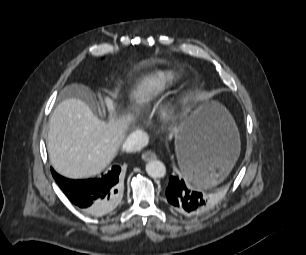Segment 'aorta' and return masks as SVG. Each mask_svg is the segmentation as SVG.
Here are the masks:
<instances>
[{"label": "aorta", "mask_w": 306, "mask_h": 255, "mask_svg": "<svg viewBox=\"0 0 306 255\" xmlns=\"http://www.w3.org/2000/svg\"><path fill=\"white\" fill-rule=\"evenodd\" d=\"M146 172L152 178H163L166 174V167L159 160H152L146 164Z\"/></svg>", "instance_id": "762f6f07"}]
</instances>
